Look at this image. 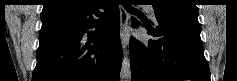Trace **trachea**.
<instances>
[{
  "mask_svg": "<svg viewBox=\"0 0 237 81\" xmlns=\"http://www.w3.org/2000/svg\"><path fill=\"white\" fill-rule=\"evenodd\" d=\"M124 5V7L126 8V9H128V10H134V11H136V9L134 8V7H132L131 5H127V4H123Z\"/></svg>",
  "mask_w": 237,
  "mask_h": 81,
  "instance_id": "3493384b",
  "label": "trachea"
}]
</instances>
